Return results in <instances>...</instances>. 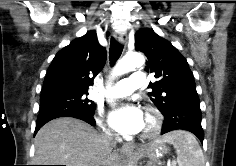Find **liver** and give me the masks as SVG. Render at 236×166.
<instances>
[{"label": "liver", "mask_w": 236, "mask_h": 166, "mask_svg": "<svg viewBox=\"0 0 236 166\" xmlns=\"http://www.w3.org/2000/svg\"><path fill=\"white\" fill-rule=\"evenodd\" d=\"M35 165L119 166L118 153L106 149L103 136L70 117L52 120L36 134Z\"/></svg>", "instance_id": "1"}]
</instances>
